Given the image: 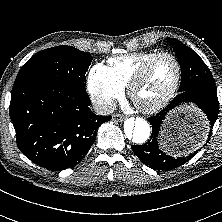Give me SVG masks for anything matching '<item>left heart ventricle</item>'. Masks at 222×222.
<instances>
[{"instance_id": "left-heart-ventricle-1", "label": "left heart ventricle", "mask_w": 222, "mask_h": 222, "mask_svg": "<svg viewBox=\"0 0 222 222\" xmlns=\"http://www.w3.org/2000/svg\"><path fill=\"white\" fill-rule=\"evenodd\" d=\"M176 77V65L168 57L155 61L135 92V101L147 106L159 101L172 87Z\"/></svg>"}]
</instances>
